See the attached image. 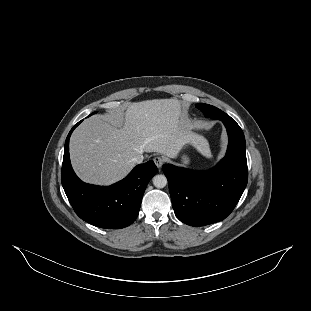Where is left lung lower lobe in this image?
<instances>
[{
	"instance_id": "obj_1",
	"label": "left lung lower lobe",
	"mask_w": 311,
	"mask_h": 311,
	"mask_svg": "<svg viewBox=\"0 0 311 311\" xmlns=\"http://www.w3.org/2000/svg\"><path fill=\"white\" fill-rule=\"evenodd\" d=\"M227 129L226 156L211 170L199 172L165 164L175 215L191 226H204L226 218L247 185L246 143L242 129L229 115L219 119Z\"/></svg>"
}]
</instances>
